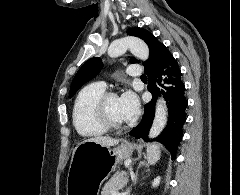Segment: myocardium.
Masks as SVG:
<instances>
[{
  "mask_svg": "<svg viewBox=\"0 0 240 195\" xmlns=\"http://www.w3.org/2000/svg\"><path fill=\"white\" fill-rule=\"evenodd\" d=\"M113 98H118V94L115 92H106L104 93L97 101L96 104V116L98 121L108 130H125L130 127L125 123L116 122L112 119L109 112V102Z\"/></svg>",
  "mask_w": 240,
  "mask_h": 195,
  "instance_id": "1",
  "label": "myocardium"
}]
</instances>
